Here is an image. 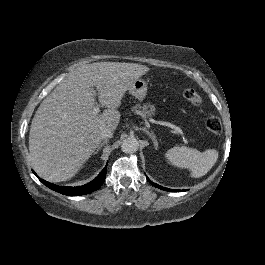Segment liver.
<instances>
[{"mask_svg":"<svg viewBox=\"0 0 265 265\" xmlns=\"http://www.w3.org/2000/svg\"><path fill=\"white\" fill-rule=\"evenodd\" d=\"M147 71L144 65L102 61L70 72L42 101L31 122L29 152L39 176L50 181L70 178L98 146L99 131L117 127L121 97ZM93 86L99 103L107 107L99 116L92 114Z\"/></svg>","mask_w":265,"mask_h":265,"instance_id":"6515ba94","label":"liver"}]
</instances>
